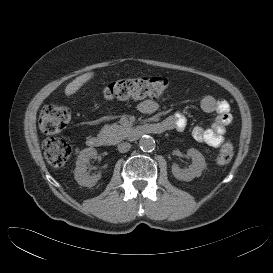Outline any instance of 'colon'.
Instances as JSON below:
<instances>
[{
    "label": "colon",
    "instance_id": "1",
    "mask_svg": "<svg viewBox=\"0 0 273 273\" xmlns=\"http://www.w3.org/2000/svg\"><path fill=\"white\" fill-rule=\"evenodd\" d=\"M167 87V80L163 77H133L123 78L108 83L104 88V96L109 100H127L130 98L158 97ZM70 121V112L63 105L48 104L43 107L39 125L46 134H54L63 130ZM45 157L55 168L64 166L72 155V144L67 139L50 138L43 145ZM234 155L230 142L222 144L216 163L220 166L228 165Z\"/></svg>",
    "mask_w": 273,
    "mask_h": 273
}]
</instances>
